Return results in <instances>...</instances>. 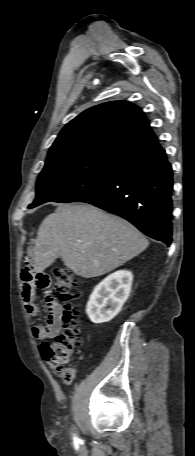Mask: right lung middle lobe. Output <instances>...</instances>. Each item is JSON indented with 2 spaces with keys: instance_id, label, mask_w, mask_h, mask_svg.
<instances>
[{
  "instance_id": "right-lung-middle-lobe-1",
  "label": "right lung middle lobe",
  "mask_w": 195,
  "mask_h": 456,
  "mask_svg": "<svg viewBox=\"0 0 195 456\" xmlns=\"http://www.w3.org/2000/svg\"><path fill=\"white\" fill-rule=\"evenodd\" d=\"M122 167L93 159L46 163L37 180L36 198L29 208L45 202H74L106 183Z\"/></svg>"
}]
</instances>
